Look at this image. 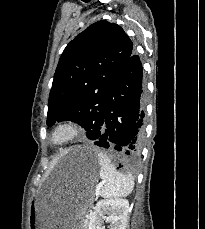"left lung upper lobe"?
<instances>
[{"label":"left lung upper lobe","mask_w":205,"mask_h":229,"mask_svg":"<svg viewBox=\"0 0 205 229\" xmlns=\"http://www.w3.org/2000/svg\"><path fill=\"white\" fill-rule=\"evenodd\" d=\"M132 52L124 30L107 21L90 25L70 41L54 75L47 125L71 120L87 130V137L94 133L103 120L109 90Z\"/></svg>","instance_id":"left-lung-upper-lobe-1"}]
</instances>
